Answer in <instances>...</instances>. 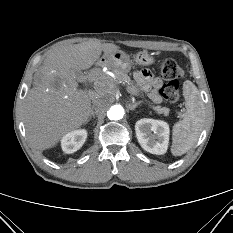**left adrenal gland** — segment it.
I'll list each match as a JSON object with an SVG mask.
<instances>
[{
	"mask_svg": "<svg viewBox=\"0 0 233 233\" xmlns=\"http://www.w3.org/2000/svg\"><path fill=\"white\" fill-rule=\"evenodd\" d=\"M140 103H141V101L136 102V103L133 104V105H129V106H128V107H129V110H135V108H136Z\"/></svg>",
	"mask_w": 233,
	"mask_h": 233,
	"instance_id": "obj_1",
	"label": "left adrenal gland"
}]
</instances>
